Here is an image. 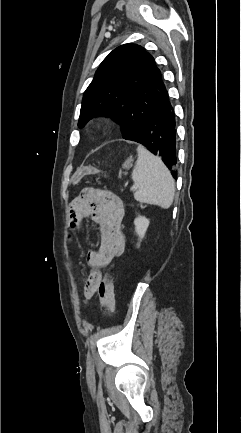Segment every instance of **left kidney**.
<instances>
[{
  "mask_svg": "<svg viewBox=\"0 0 241 433\" xmlns=\"http://www.w3.org/2000/svg\"><path fill=\"white\" fill-rule=\"evenodd\" d=\"M134 225L135 232L139 236V240L141 241L144 238L147 228L149 226V220L144 216H138L134 220ZM137 246L139 247L140 243H138Z\"/></svg>",
  "mask_w": 241,
  "mask_h": 433,
  "instance_id": "5707ae66",
  "label": "left kidney"
}]
</instances>
